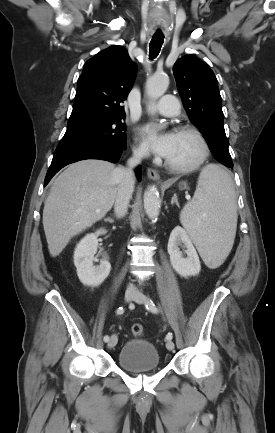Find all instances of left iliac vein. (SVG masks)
<instances>
[{"label":"left iliac vein","instance_id":"obj_1","mask_svg":"<svg viewBox=\"0 0 275 433\" xmlns=\"http://www.w3.org/2000/svg\"><path fill=\"white\" fill-rule=\"evenodd\" d=\"M133 300H134L136 303H138V304H143V303L146 302L147 298H146V296H145L144 294H142V293H140V292H136V293H135V296H134V298H133ZM166 348H167L169 351L174 350V343H173L171 340H168V341L166 342Z\"/></svg>","mask_w":275,"mask_h":433}]
</instances>
